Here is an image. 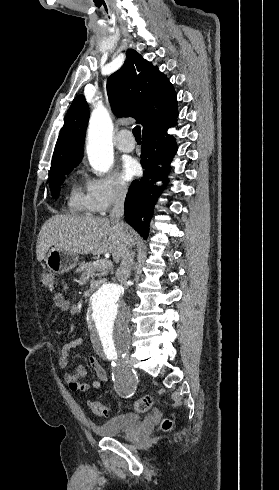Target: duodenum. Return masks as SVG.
<instances>
[{
  "instance_id": "410a0bca",
  "label": "duodenum",
  "mask_w": 279,
  "mask_h": 490,
  "mask_svg": "<svg viewBox=\"0 0 279 490\" xmlns=\"http://www.w3.org/2000/svg\"><path fill=\"white\" fill-rule=\"evenodd\" d=\"M102 283L103 282L101 280H96V281L92 282L91 285L89 286V288L87 289V291L85 292V295L90 296L93 292H95L102 285Z\"/></svg>"
}]
</instances>
